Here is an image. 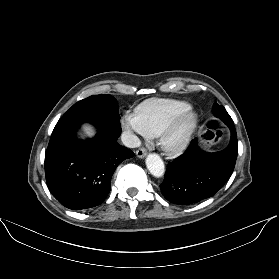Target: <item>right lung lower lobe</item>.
<instances>
[{"instance_id": "right-lung-lower-lobe-1", "label": "right lung lower lobe", "mask_w": 279, "mask_h": 279, "mask_svg": "<svg viewBox=\"0 0 279 279\" xmlns=\"http://www.w3.org/2000/svg\"><path fill=\"white\" fill-rule=\"evenodd\" d=\"M90 122L99 127L93 139H76L79 124L53 132L45 153L47 186L63 206L72 210L101 204L110 191L117 166L134 156L117 143L120 116L105 114Z\"/></svg>"}]
</instances>
